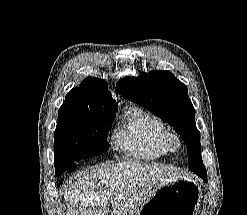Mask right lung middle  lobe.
Here are the masks:
<instances>
[{"label":"right lung middle lobe","mask_w":247,"mask_h":215,"mask_svg":"<svg viewBox=\"0 0 247 215\" xmlns=\"http://www.w3.org/2000/svg\"><path fill=\"white\" fill-rule=\"evenodd\" d=\"M115 111L95 108L67 95L54 132L57 175L73 171L84 159L107 151V133Z\"/></svg>","instance_id":"dd1d6c3e"}]
</instances>
